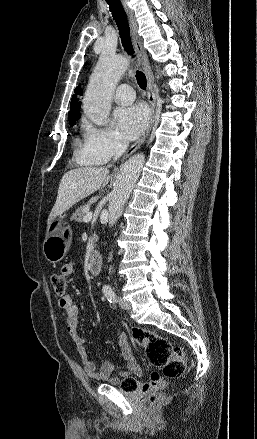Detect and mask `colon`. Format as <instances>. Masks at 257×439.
<instances>
[{"label":"colon","mask_w":257,"mask_h":439,"mask_svg":"<svg viewBox=\"0 0 257 439\" xmlns=\"http://www.w3.org/2000/svg\"><path fill=\"white\" fill-rule=\"evenodd\" d=\"M51 285L54 293L59 297L66 294V280L61 274L51 276ZM133 339L141 345L149 362L157 368L149 380L140 383L134 378H125L120 387L124 392H150L149 402L155 404L161 400L160 390L164 386L165 378L181 377L186 369V358L183 350L174 347L166 338L153 332L135 328L132 331Z\"/></svg>","instance_id":"5ec220e1"}]
</instances>
